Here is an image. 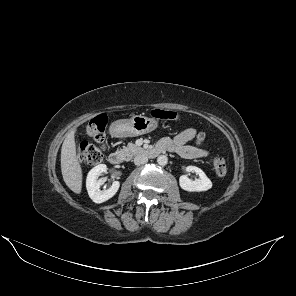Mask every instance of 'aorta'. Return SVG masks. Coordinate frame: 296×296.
<instances>
[{
	"mask_svg": "<svg viewBox=\"0 0 296 296\" xmlns=\"http://www.w3.org/2000/svg\"><path fill=\"white\" fill-rule=\"evenodd\" d=\"M157 163H158L160 166H165V165L168 163V158H167V156H165V155H160V156L157 158Z\"/></svg>",
	"mask_w": 296,
	"mask_h": 296,
	"instance_id": "obj_1",
	"label": "aorta"
}]
</instances>
